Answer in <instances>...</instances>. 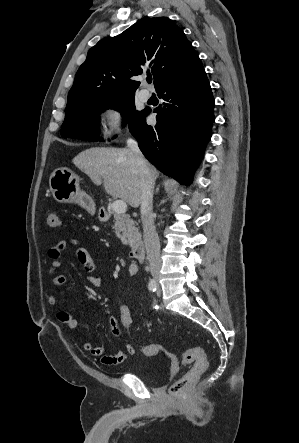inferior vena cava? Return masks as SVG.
Wrapping results in <instances>:
<instances>
[{"label":"inferior vena cava","mask_w":299,"mask_h":443,"mask_svg":"<svg viewBox=\"0 0 299 443\" xmlns=\"http://www.w3.org/2000/svg\"><path fill=\"white\" fill-rule=\"evenodd\" d=\"M129 150L134 154L136 167L140 177V204L143 237L151 274L156 276L160 272V242L154 226L153 219V191L154 179L135 140H127Z\"/></svg>","instance_id":"602c4592"}]
</instances>
